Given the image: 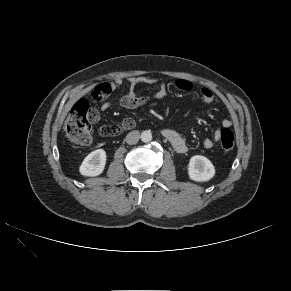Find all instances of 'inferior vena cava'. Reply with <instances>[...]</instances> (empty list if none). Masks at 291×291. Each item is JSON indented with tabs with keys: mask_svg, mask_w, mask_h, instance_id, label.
Wrapping results in <instances>:
<instances>
[{
	"mask_svg": "<svg viewBox=\"0 0 291 291\" xmlns=\"http://www.w3.org/2000/svg\"><path fill=\"white\" fill-rule=\"evenodd\" d=\"M140 133L137 130L131 131L127 134L125 141L130 144H136L139 141Z\"/></svg>",
	"mask_w": 291,
	"mask_h": 291,
	"instance_id": "602c4592",
	"label": "inferior vena cava"
}]
</instances>
